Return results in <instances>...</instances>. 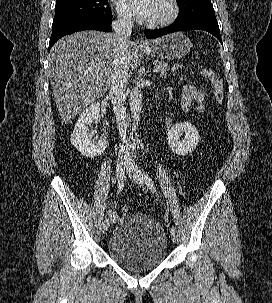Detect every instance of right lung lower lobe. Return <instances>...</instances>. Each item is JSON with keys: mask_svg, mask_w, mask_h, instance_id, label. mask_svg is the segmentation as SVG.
<instances>
[{"mask_svg": "<svg viewBox=\"0 0 272 303\" xmlns=\"http://www.w3.org/2000/svg\"><path fill=\"white\" fill-rule=\"evenodd\" d=\"M112 16L102 18L97 16H81L64 22L52 25V35L49 42V49L61 37L82 30H99L109 32L111 28Z\"/></svg>", "mask_w": 272, "mask_h": 303, "instance_id": "obj_1", "label": "right lung lower lobe"}]
</instances>
